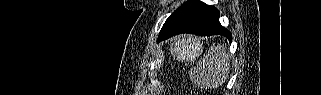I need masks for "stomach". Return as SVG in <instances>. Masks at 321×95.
I'll use <instances>...</instances> for the list:
<instances>
[{"label":"stomach","mask_w":321,"mask_h":95,"mask_svg":"<svg viewBox=\"0 0 321 95\" xmlns=\"http://www.w3.org/2000/svg\"><path fill=\"white\" fill-rule=\"evenodd\" d=\"M170 50L177 58L192 60L202 53V44L194 38H182Z\"/></svg>","instance_id":"0dacf381"}]
</instances>
